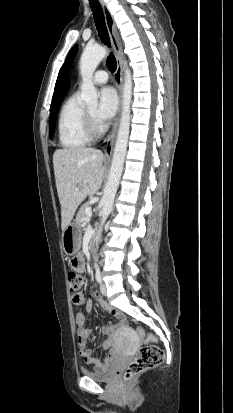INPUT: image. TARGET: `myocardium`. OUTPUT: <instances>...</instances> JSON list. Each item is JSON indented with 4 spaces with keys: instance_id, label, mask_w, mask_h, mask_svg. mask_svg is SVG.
Returning <instances> with one entry per match:
<instances>
[{
    "instance_id": "myocardium-1",
    "label": "myocardium",
    "mask_w": 233,
    "mask_h": 413,
    "mask_svg": "<svg viewBox=\"0 0 233 413\" xmlns=\"http://www.w3.org/2000/svg\"><path fill=\"white\" fill-rule=\"evenodd\" d=\"M85 131L91 140L99 137L102 133L95 116H93L88 109H85Z\"/></svg>"
}]
</instances>
